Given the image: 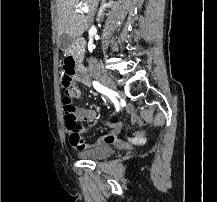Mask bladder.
Instances as JSON below:
<instances>
[{"mask_svg":"<svg viewBox=\"0 0 217 202\" xmlns=\"http://www.w3.org/2000/svg\"><path fill=\"white\" fill-rule=\"evenodd\" d=\"M112 151H113L112 146L101 145V146H97L94 149L80 152V156L86 159H99V158L110 157Z\"/></svg>","mask_w":217,"mask_h":202,"instance_id":"1","label":"bladder"}]
</instances>
